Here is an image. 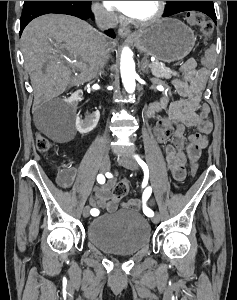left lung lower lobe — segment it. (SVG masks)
Here are the masks:
<instances>
[{
    "mask_svg": "<svg viewBox=\"0 0 237 300\" xmlns=\"http://www.w3.org/2000/svg\"><path fill=\"white\" fill-rule=\"evenodd\" d=\"M190 10H196L205 13L208 15L214 22H216V14L214 10L213 4H193V5H186V6H180L174 9V14L183 12V11H190ZM164 16H167L164 14Z\"/></svg>",
    "mask_w": 237,
    "mask_h": 300,
    "instance_id": "1",
    "label": "left lung lower lobe"
}]
</instances>
